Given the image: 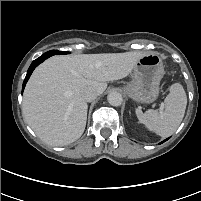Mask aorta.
<instances>
[{"instance_id": "aorta-1", "label": "aorta", "mask_w": 201, "mask_h": 201, "mask_svg": "<svg viewBox=\"0 0 201 201\" xmlns=\"http://www.w3.org/2000/svg\"><path fill=\"white\" fill-rule=\"evenodd\" d=\"M107 100L112 106H120L123 102L122 95L115 91H112L108 94Z\"/></svg>"}]
</instances>
